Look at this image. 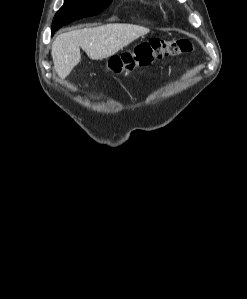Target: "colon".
<instances>
[{
	"mask_svg": "<svg viewBox=\"0 0 247 299\" xmlns=\"http://www.w3.org/2000/svg\"><path fill=\"white\" fill-rule=\"evenodd\" d=\"M193 49V42L187 38L173 40L151 39L141 43L132 51L112 56L108 60L106 68L111 73L120 74L139 66L150 65L156 60L189 53Z\"/></svg>",
	"mask_w": 247,
	"mask_h": 299,
	"instance_id": "obj_1",
	"label": "colon"
}]
</instances>
